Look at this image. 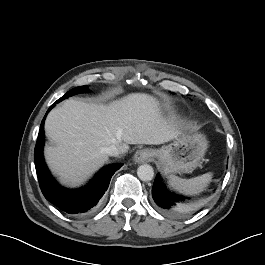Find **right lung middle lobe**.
Returning a JSON list of instances; mask_svg holds the SVG:
<instances>
[{
  "label": "right lung middle lobe",
  "mask_w": 265,
  "mask_h": 265,
  "mask_svg": "<svg viewBox=\"0 0 265 265\" xmlns=\"http://www.w3.org/2000/svg\"><path fill=\"white\" fill-rule=\"evenodd\" d=\"M89 89H88V86L85 85V86H81V87H76L70 91H68L64 96H62L60 99L57 100V102H60L72 95H76V94H79V93H84V92H87Z\"/></svg>",
  "instance_id": "right-lung-middle-lobe-1"
}]
</instances>
